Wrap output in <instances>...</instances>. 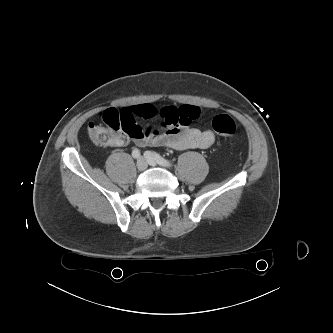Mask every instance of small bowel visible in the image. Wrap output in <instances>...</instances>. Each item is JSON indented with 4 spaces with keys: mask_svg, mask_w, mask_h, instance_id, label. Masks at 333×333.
I'll use <instances>...</instances> for the list:
<instances>
[{
    "mask_svg": "<svg viewBox=\"0 0 333 333\" xmlns=\"http://www.w3.org/2000/svg\"><path fill=\"white\" fill-rule=\"evenodd\" d=\"M129 111L141 119L159 118V129L144 128L137 124L133 134L119 132L111 146H126L133 141L139 146H162L175 150L207 149L215 142V134L211 130H200L192 127L193 121L200 116V109L193 105L180 107L168 106L156 109L145 104L131 107Z\"/></svg>",
    "mask_w": 333,
    "mask_h": 333,
    "instance_id": "c3829d8e",
    "label": "small bowel"
}]
</instances>
